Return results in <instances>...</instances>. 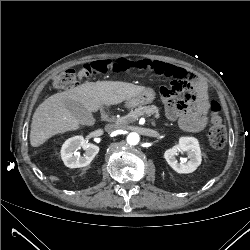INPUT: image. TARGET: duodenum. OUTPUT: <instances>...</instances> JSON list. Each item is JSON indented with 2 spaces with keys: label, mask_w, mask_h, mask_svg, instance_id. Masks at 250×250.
<instances>
[{
  "label": "duodenum",
  "mask_w": 250,
  "mask_h": 250,
  "mask_svg": "<svg viewBox=\"0 0 250 250\" xmlns=\"http://www.w3.org/2000/svg\"><path fill=\"white\" fill-rule=\"evenodd\" d=\"M101 118L104 119V120L108 118V114H107L106 110H103L101 112Z\"/></svg>",
  "instance_id": "1"
}]
</instances>
